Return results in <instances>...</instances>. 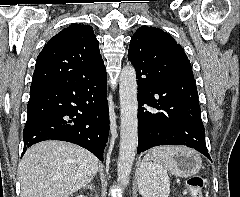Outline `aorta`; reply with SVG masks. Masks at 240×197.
<instances>
[{"label": "aorta", "instance_id": "aorta-1", "mask_svg": "<svg viewBox=\"0 0 240 197\" xmlns=\"http://www.w3.org/2000/svg\"><path fill=\"white\" fill-rule=\"evenodd\" d=\"M121 111L120 149L117 164L118 181L127 186L138 143V101L136 71L132 65L123 67L119 78Z\"/></svg>", "mask_w": 240, "mask_h": 197}]
</instances>
